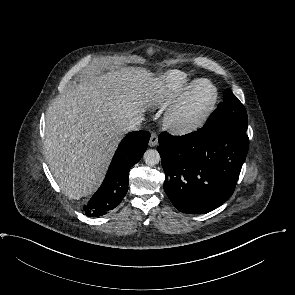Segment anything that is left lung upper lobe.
<instances>
[{
  "label": "left lung upper lobe",
  "mask_w": 295,
  "mask_h": 295,
  "mask_svg": "<svg viewBox=\"0 0 295 295\" xmlns=\"http://www.w3.org/2000/svg\"><path fill=\"white\" fill-rule=\"evenodd\" d=\"M205 125H224L235 127L243 131L247 130L246 110L230 89L225 90L223 102L218 105Z\"/></svg>",
  "instance_id": "obj_1"
}]
</instances>
